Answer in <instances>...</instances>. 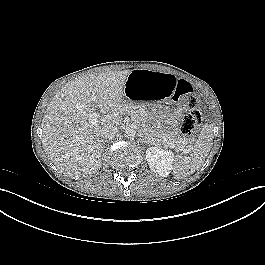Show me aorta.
Masks as SVG:
<instances>
[{
	"instance_id": "762f6f07",
	"label": "aorta",
	"mask_w": 265,
	"mask_h": 265,
	"mask_svg": "<svg viewBox=\"0 0 265 265\" xmlns=\"http://www.w3.org/2000/svg\"><path fill=\"white\" fill-rule=\"evenodd\" d=\"M135 135H136V131L133 128H127L125 130L124 136L127 139H134Z\"/></svg>"
}]
</instances>
